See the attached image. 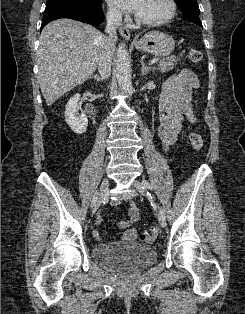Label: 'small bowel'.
<instances>
[{"mask_svg":"<svg viewBox=\"0 0 245 314\" xmlns=\"http://www.w3.org/2000/svg\"><path fill=\"white\" fill-rule=\"evenodd\" d=\"M199 86L198 78L189 69H182L175 76L167 80L159 101L160 125L159 138L164 151H168L177 141L182 132L185 121L195 123V116L191 109L192 90ZM129 219L119 223L125 229L122 240L133 242L136 240L138 230L132 224L140 219V211L135 202L129 200Z\"/></svg>","mask_w":245,"mask_h":314,"instance_id":"small-bowel-1","label":"small bowel"}]
</instances>
